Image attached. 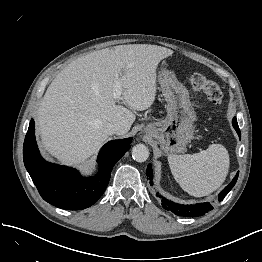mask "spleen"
Returning a JSON list of instances; mask_svg holds the SVG:
<instances>
[{"mask_svg": "<svg viewBox=\"0 0 262 262\" xmlns=\"http://www.w3.org/2000/svg\"><path fill=\"white\" fill-rule=\"evenodd\" d=\"M168 163L181 188L192 196L202 197L223 184L229 171L230 159L224 146L213 144L194 154H170Z\"/></svg>", "mask_w": 262, "mask_h": 262, "instance_id": "spleen-1", "label": "spleen"}]
</instances>
